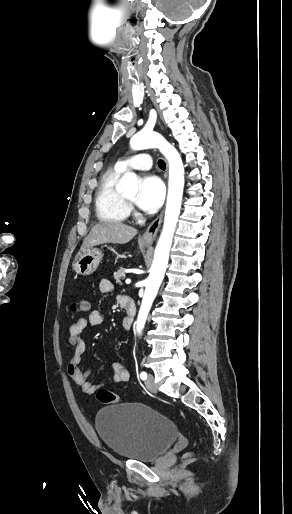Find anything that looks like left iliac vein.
I'll list each match as a JSON object with an SVG mask.
<instances>
[{
	"instance_id": "1",
	"label": "left iliac vein",
	"mask_w": 292,
	"mask_h": 514,
	"mask_svg": "<svg viewBox=\"0 0 292 514\" xmlns=\"http://www.w3.org/2000/svg\"><path fill=\"white\" fill-rule=\"evenodd\" d=\"M145 385L147 387V389L153 393H156L157 392V387L155 385V382H154V377L152 374H149L146 381H145Z\"/></svg>"
}]
</instances>
